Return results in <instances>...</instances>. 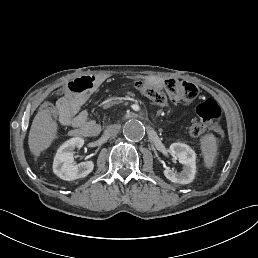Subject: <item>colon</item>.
Instances as JSON below:
<instances>
[{"instance_id":"1","label":"colon","mask_w":258,"mask_h":258,"mask_svg":"<svg viewBox=\"0 0 258 258\" xmlns=\"http://www.w3.org/2000/svg\"><path fill=\"white\" fill-rule=\"evenodd\" d=\"M66 89H70L68 86ZM139 90L146 96L154 105L167 106L169 104L190 103L197 97V87L189 82L169 79L165 81L164 89H159L152 85L142 84ZM64 90H58L54 97L58 100L64 96ZM198 119L189 128L192 136H200L206 132L210 124L220 116V108L218 104L208 99L199 104L196 108ZM218 133L221 131L218 129Z\"/></svg>"}]
</instances>
